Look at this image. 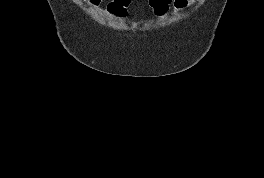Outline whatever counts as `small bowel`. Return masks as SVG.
Segmentation results:
<instances>
[{"instance_id": "small-bowel-1", "label": "small bowel", "mask_w": 264, "mask_h": 178, "mask_svg": "<svg viewBox=\"0 0 264 178\" xmlns=\"http://www.w3.org/2000/svg\"><path fill=\"white\" fill-rule=\"evenodd\" d=\"M89 6L93 8L99 7L104 0H83ZM198 0H171L170 8H172L175 12H181L188 8L189 6L196 3Z\"/></svg>"}]
</instances>
